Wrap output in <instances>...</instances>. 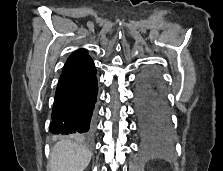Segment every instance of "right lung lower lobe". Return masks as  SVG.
<instances>
[{
    "label": "right lung lower lobe",
    "instance_id": "right-lung-lower-lobe-1",
    "mask_svg": "<svg viewBox=\"0 0 223 171\" xmlns=\"http://www.w3.org/2000/svg\"><path fill=\"white\" fill-rule=\"evenodd\" d=\"M97 92L96 69L91 58L64 69L55 93L51 133L90 140Z\"/></svg>",
    "mask_w": 223,
    "mask_h": 171
}]
</instances>
